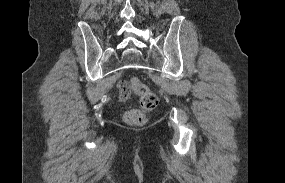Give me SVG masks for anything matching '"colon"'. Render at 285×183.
Here are the masks:
<instances>
[{
  "label": "colon",
  "mask_w": 285,
  "mask_h": 183,
  "mask_svg": "<svg viewBox=\"0 0 285 183\" xmlns=\"http://www.w3.org/2000/svg\"><path fill=\"white\" fill-rule=\"evenodd\" d=\"M133 91L140 98L141 109H132L125 113V121L132 126H142L147 122V113L154 110L158 104L157 95L140 80L133 78L130 81Z\"/></svg>",
  "instance_id": "5ec220e1"
}]
</instances>
